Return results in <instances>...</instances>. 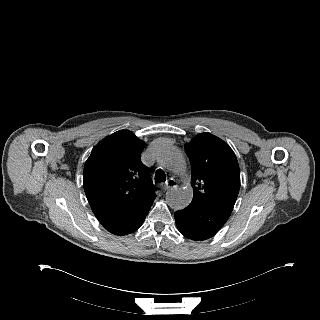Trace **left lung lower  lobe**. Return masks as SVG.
<instances>
[{"label":"left lung lower lobe","instance_id":"1","mask_svg":"<svg viewBox=\"0 0 320 320\" xmlns=\"http://www.w3.org/2000/svg\"><path fill=\"white\" fill-rule=\"evenodd\" d=\"M230 214L208 203L192 200L186 208L175 212V221L182 235L199 241L213 237Z\"/></svg>","mask_w":320,"mask_h":320}]
</instances>
